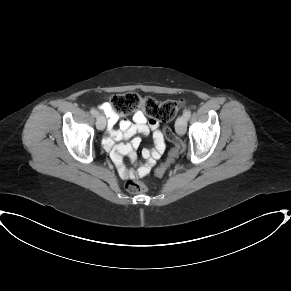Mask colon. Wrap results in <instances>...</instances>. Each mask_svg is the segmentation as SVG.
<instances>
[{"mask_svg":"<svg viewBox=\"0 0 291 291\" xmlns=\"http://www.w3.org/2000/svg\"><path fill=\"white\" fill-rule=\"evenodd\" d=\"M110 105L113 109L123 112L141 110L152 119L166 123L175 117L180 107L184 105V101L166 100L159 102L151 96L142 98L135 92H125L111 96ZM164 135L170 141L177 139L174 131L167 126L164 128ZM168 168V164L163 163L156 168L155 173L164 175ZM126 189L130 193L140 194L147 191V184L144 179L130 180L126 183Z\"/></svg>","mask_w":291,"mask_h":291,"instance_id":"1","label":"colon"}]
</instances>
